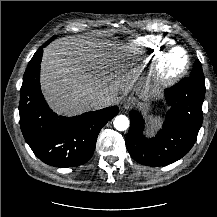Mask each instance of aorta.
<instances>
[{"label": "aorta", "instance_id": "762f6f07", "mask_svg": "<svg viewBox=\"0 0 217 217\" xmlns=\"http://www.w3.org/2000/svg\"><path fill=\"white\" fill-rule=\"evenodd\" d=\"M114 127L118 131H125L129 127V119L125 115H118L114 119Z\"/></svg>", "mask_w": 217, "mask_h": 217}]
</instances>
